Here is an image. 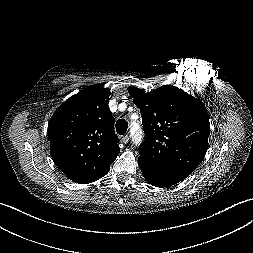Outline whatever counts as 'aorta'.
I'll use <instances>...</instances> for the list:
<instances>
[{
	"instance_id": "obj_1",
	"label": "aorta",
	"mask_w": 253,
	"mask_h": 253,
	"mask_svg": "<svg viewBox=\"0 0 253 253\" xmlns=\"http://www.w3.org/2000/svg\"><path fill=\"white\" fill-rule=\"evenodd\" d=\"M131 136H132V142L134 145L139 146L142 143V130L139 127L138 124L133 123L131 124L130 128Z\"/></svg>"
}]
</instances>
